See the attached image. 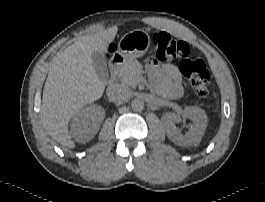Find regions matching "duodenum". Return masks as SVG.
<instances>
[{"label":"duodenum","mask_w":265,"mask_h":202,"mask_svg":"<svg viewBox=\"0 0 265 202\" xmlns=\"http://www.w3.org/2000/svg\"><path fill=\"white\" fill-rule=\"evenodd\" d=\"M123 61H124V57L121 54L116 53L113 55V57L109 63V78H108V80L110 82H112L114 80V78L116 77V75L118 73L119 66L122 64Z\"/></svg>","instance_id":"obj_1"}]
</instances>
